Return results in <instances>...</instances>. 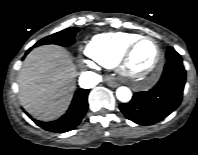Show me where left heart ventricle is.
<instances>
[{
    "label": "left heart ventricle",
    "instance_id": "left-heart-ventricle-1",
    "mask_svg": "<svg viewBox=\"0 0 198 155\" xmlns=\"http://www.w3.org/2000/svg\"><path fill=\"white\" fill-rule=\"evenodd\" d=\"M157 58V47L154 42L146 40L141 42L134 50L129 68L137 74L147 73Z\"/></svg>",
    "mask_w": 198,
    "mask_h": 155
}]
</instances>
